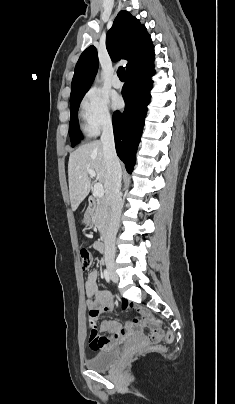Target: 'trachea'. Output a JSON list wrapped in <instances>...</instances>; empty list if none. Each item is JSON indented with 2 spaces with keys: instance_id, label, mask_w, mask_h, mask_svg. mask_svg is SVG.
Here are the masks:
<instances>
[{
  "instance_id": "3493384b",
  "label": "trachea",
  "mask_w": 235,
  "mask_h": 404,
  "mask_svg": "<svg viewBox=\"0 0 235 404\" xmlns=\"http://www.w3.org/2000/svg\"><path fill=\"white\" fill-rule=\"evenodd\" d=\"M117 75L121 81H124L125 80V68L119 67L117 70Z\"/></svg>"
}]
</instances>
